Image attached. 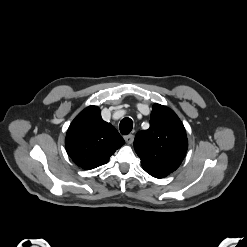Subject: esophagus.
<instances>
[{"instance_id": "esophagus-1", "label": "esophagus", "mask_w": 247, "mask_h": 247, "mask_svg": "<svg viewBox=\"0 0 247 247\" xmlns=\"http://www.w3.org/2000/svg\"><path fill=\"white\" fill-rule=\"evenodd\" d=\"M124 140L127 144H132L134 141V135L129 134L124 137Z\"/></svg>"}]
</instances>
